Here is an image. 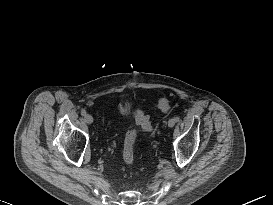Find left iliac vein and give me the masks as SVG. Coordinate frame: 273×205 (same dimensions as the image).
<instances>
[{"label": "left iliac vein", "mask_w": 273, "mask_h": 205, "mask_svg": "<svg viewBox=\"0 0 273 205\" xmlns=\"http://www.w3.org/2000/svg\"><path fill=\"white\" fill-rule=\"evenodd\" d=\"M175 123H176V122H175V119L172 118V119H170V120L168 121V126H169V127H173V126L175 125Z\"/></svg>", "instance_id": "4c4485c4"}]
</instances>
